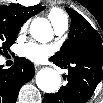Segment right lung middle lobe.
<instances>
[{
    "label": "right lung middle lobe",
    "mask_w": 103,
    "mask_h": 103,
    "mask_svg": "<svg viewBox=\"0 0 103 103\" xmlns=\"http://www.w3.org/2000/svg\"><path fill=\"white\" fill-rule=\"evenodd\" d=\"M20 27L10 25L0 20V54L6 52L16 40Z\"/></svg>",
    "instance_id": "dd1d6c3e"
}]
</instances>
